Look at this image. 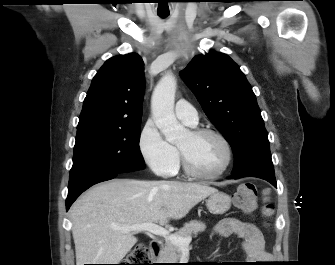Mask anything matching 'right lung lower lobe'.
Segmentation results:
<instances>
[{
    "mask_svg": "<svg viewBox=\"0 0 335 265\" xmlns=\"http://www.w3.org/2000/svg\"><path fill=\"white\" fill-rule=\"evenodd\" d=\"M118 173L120 172L108 170L95 171L83 175L73 182H70L68 187V196L66 199V209L68 210L72 203L79 197V195L90 186L102 181L110 180Z\"/></svg>",
    "mask_w": 335,
    "mask_h": 265,
    "instance_id": "1",
    "label": "right lung lower lobe"
}]
</instances>
